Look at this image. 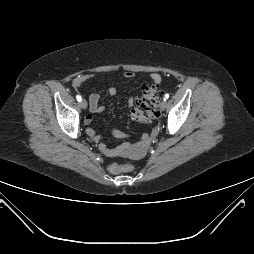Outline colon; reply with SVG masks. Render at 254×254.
<instances>
[{
    "label": "colon",
    "mask_w": 254,
    "mask_h": 254,
    "mask_svg": "<svg viewBox=\"0 0 254 254\" xmlns=\"http://www.w3.org/2000/svg\"><path fill=\"white\" fill-rule=\"evenodd\" d=\"M160 92L155 87H147L143 91L142 98L136 103L132 110V118L139 123H148L158 116V102ZM113 173L130 171L133 166L129 163L115 162L110 167Z\"/></svg>",
    "instance_id": "colon-1"
}]
</instances>
